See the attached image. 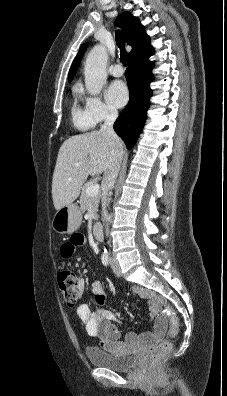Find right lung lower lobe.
Masks as SVG:
<instances>
[{"mask_svg":"<svg viewBox=\"0 0 227 396\" xmlns=\"http://www.w3.org/2000/svg\"><path fill=\"white\" fill-rule=\"evenodd\" d=\"M153 54L154 50L150 44L139 50L130 58L129 67L125 72L130 98L115 121L114 130L124 140L128 149L134 146L147 118L146 112L152 95L149 84L153 80L151 70L154 65L148 58Z\"/></svg>","mask_w":227,"mask_h":396,"instance_id":"right-lung-lower-lobe-1","label":"right lung lower lobe"}]
</instances>
